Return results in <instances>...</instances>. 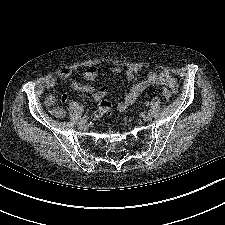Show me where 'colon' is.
<instances>
[{
	"label": "colon",
	"instance_id": "colon-1",
	"mask_svg": "<svg viewBox=\"0 0 225 225\" xmlns=\"http://www.w3.org/2000/svg\"><path fill=\"white\" fill-rule=\"evenodd\" d=\"M162 93H163V96H164L166 99H169V98L171 97V95H172L171 90L168 89V88H163V89H162ZM62 114H63V112H62Z\"/></svg>",
	"mask_w": 225,
	"mask_h": 225
}]
</instances>
